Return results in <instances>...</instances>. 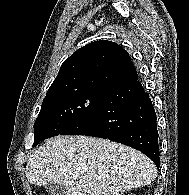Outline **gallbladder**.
I'll return each mask as SVG.
<instances>
[{"label": "gallbladder", "mask_w": 189, "mask_h": 195, "mask_svg": "<svg viewBox=\"0 0 189 195\" xmlns=\"http://www.w3.org/2000/svg\"><path fill=\"white\" fill-rule=\"evenodd\" d=\"M48 195H64L65 187L60 183H51L45 186Z\"/></svg>", "instance_id": "obj_1"}]
</instances>
